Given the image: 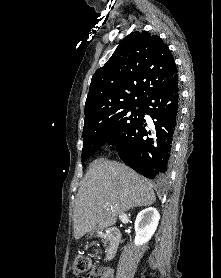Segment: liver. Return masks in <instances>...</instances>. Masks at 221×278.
Wrapping results in <instances>:
<instances>
[{"label":"liver","mask_w":221,"mask_h":278,"mask_svg":"<svg viewBox=\"0 0 221 278\" xmlns=\"http://www.w3.org/2000/svg\"><path fill=\"white\" fill-rule=\"evenodd\" d=\"M156 197L152 185L131 168L104 158L90 164L73 210L74 237L81 238L116 223L133 207L150 206ZM106 204H109L106 207Z\"/></svg>","instance_id":"liver-1"}]
</instances>
